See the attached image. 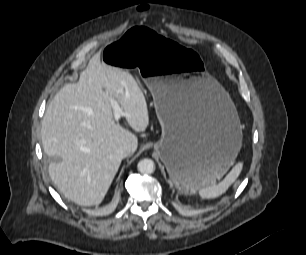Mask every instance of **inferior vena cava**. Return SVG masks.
<instances>
[{"instance_id": "1", "label": "inferior vena cava", "mask_w": 306, "mask_h": 255, "mask_svg": "<svg viewBox=\"0 0 306 255\" xmlns=\"http://www.w3.org/2000/svg\"><path fill=\"white\" fill-rule=\"evenodd\" d=\"M133 153V148L129 144H124L120 146L117 150V154L120 158H126L127 156L131 155Z\"/></svg>"}]
</instances>
